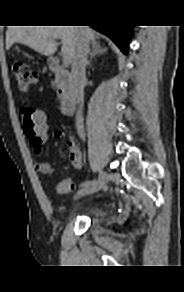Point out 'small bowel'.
I'll list each match as a JSON object with an SVG mask.
<instances>
[{"instance_id": "obj_1", "label": "small bowel", "mask_w": 184, "mask_h": 292, "mask_svg": "<svg viewBox=\"0 0 184 292\" xmlns=\"http://www.w3.org/2000/svg\"><path fill=\"white\" fill-rule=\"evenodd\" d=\"M54 136L56 138H61L64 136V134L60 131H56L54 133ZM67 144L69 148V153L60 152L58 153L59 157L69 160L75 169L82 168L83 160H82L81 150L79 146L77 145V143L75 142V140L73 139V137L71 136L67 137ZM37 169L39 172L45 175H51L53 173V168L48 162H45V161L37 163ZM72 188H73V184L68 179L60 181L57 185V191L60 194L68 193Z\"/></svg>"}]
</instances>
